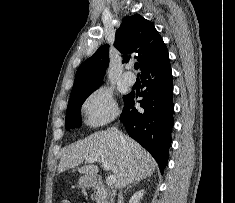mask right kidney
Wrapping results in <instances>:
<instances>
[{
  "instance_id": "obj_1",
  "label": "right kidney",
  "mask_w": 235,
  "mask_h": 203,
  "mask_svg": "<svg viewBox=\"0 0 235 203\" xmlns=\"http://www.w3.org/2000/svg\"><path fill=\"white\" fill-rule=\"evenodd\" d=\"M144 190H139L130 198L129 203H139L140 199L143 198Z\"/></svg>"
}]
</instances>
